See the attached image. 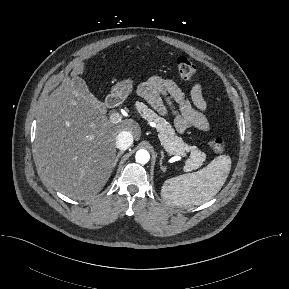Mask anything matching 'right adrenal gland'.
Wrapping results in <instances>:
<instances>
[{
	"label": "right adrenal gland",
	"mask_w": 289,
	"mask_h": 289,
	"mask_svg": "<svg viewBox=\"0 0 289 289\" xmlns=\"http://www.w3.org/2000/svg\"><path fill=\"white\" fill-rule=\"evenodd\" d=\"M123 153H124V151H120V152L117 154L116 159H115V163H114V167L116 166L119 157H120Z\"/></svg>",
	"instance_id": "obj_1"
}]
</instances>
